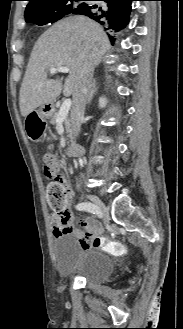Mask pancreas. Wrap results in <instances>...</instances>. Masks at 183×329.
<instances>
[{"label": "pancreas", "mask_w": 183, "mask_h": 329, "mask_svg": "<svg viewBox=\"0 0 183 329\" xmlns=\"http://www.w3.org/2000/svg\"><path fill=\"white\" fill-rule=\"evenodd\" d=\"M58 116V112H55L52 117H51V120H50V123L52 125H55L56 124V118ZM64 126L66 128V131L67 133L69 134V137L71 138L72 137V123H71V119L69 116H67L64 120Z\"/></svg>", "instance_id": "cf45deb5"}]
</instances>
